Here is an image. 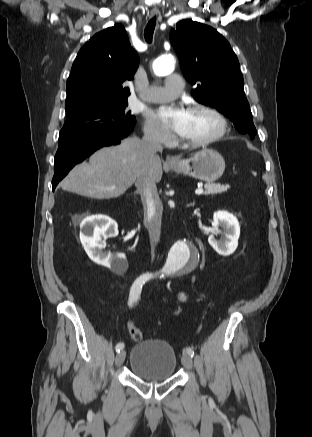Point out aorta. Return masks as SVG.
I'll list each match as a JSON object with an SVG mask.
<instances>
[{
	"instance_id": "aorta-1",
	"label": "aorta",
	"mask_w": 312,
	"mask_h": 437,
	"mask_svg": "<svg viewBox=\"0 0 312 437\" xmlns=\"http://www.w3.org/2000/svg\"><path fill=\"white\" fill-rule=\"evenodd\" d=\"M175 66L174 57L163 55L153 62V71L157 76H165L173 72ZM198 260V253L186 242H176L168 255L163 272L173 274L191 269Z\"/></svg>"
}]
</instances>
